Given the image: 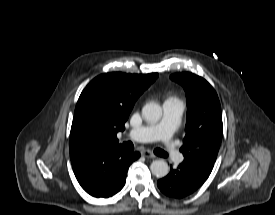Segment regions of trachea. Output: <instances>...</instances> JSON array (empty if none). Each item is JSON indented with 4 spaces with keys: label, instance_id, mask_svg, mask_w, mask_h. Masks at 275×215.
<instances>
[{
    "label": "trachea",
    "instance_id": "1",
    "mask_svg": "<svg viewBox=\"0 0 275 215\" xmlns=\"http://www.w3.org/2000/svg\"><path fill=\"white\" fill-rule=\"evenodd\" d=\"M154 153H155L156 155L160 156V157H164V158L167 157L166 152H164V151L161 150V149H156V150L154 151Z\"/></svg>",
    "mask_w": 275,
    "mask_h": 215
}]
</instances>
